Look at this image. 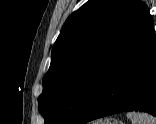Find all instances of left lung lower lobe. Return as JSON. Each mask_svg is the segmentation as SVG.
I'll list each match as a JSON object with an SVG mask.
<instances>
[{"label":"left lung lower lobe","instance_id":"1","mask_svg":"<svg viewBox=\"0 0 156 124\" xmlns=\"http://www.w3.org/2000/svg\"><path fill=\"white\" fill-rule=\"evenodd\" d=\"M126 111H143L156 116L153 24L115 63L78 124Z\"/></svg>","mask_w":156,"mask_h":124}]
</instances>
